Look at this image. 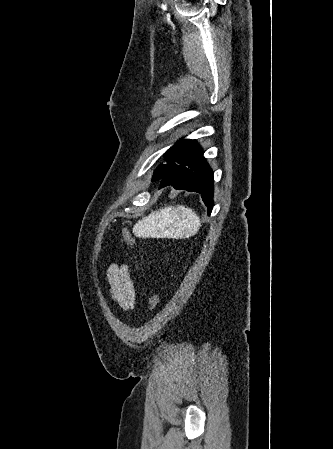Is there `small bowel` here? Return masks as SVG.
Wrapping results in <instances>:
<instances>
[{
  "label": "small bowel",
  "instance_id": "small-bowel-1",
  "mask_svg": "<svg viewBox=\"0 0 333 449\" xmlns=\"http://www.w3.org/2000/svg\"><path fill=\"white\" fill-rule=\"evenodd\" d=\"M107 278L113 301L125 311L132 310L135 304V288L128 268L112 265L107 272Z\"/></svg>",
  "mask_w": 333,
  "mask_h": 449
}]
</instances>
